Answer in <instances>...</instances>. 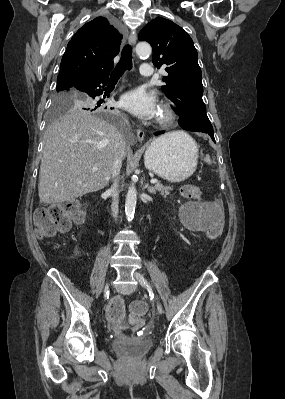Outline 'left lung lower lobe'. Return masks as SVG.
Here are the masks:
<instances>
[{"mask_svg":"<svg viewBox=\"0 0 285 399\" xmlns=\"http://www.w3.org/2000/svg\"><path fill=\"white\" fill-rule=\"evenodd\" d=\"M164 132H165V131L156 132L155 135L157 136V135L163 134ZM211 138H212V140L215 142L214 135L211 136Z\"/></svg>","mask_w":285,"mask_h":399,"instance_id":"1","label":"left lung lower lobe"}]
</instances>
